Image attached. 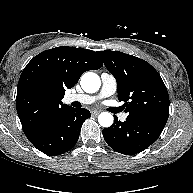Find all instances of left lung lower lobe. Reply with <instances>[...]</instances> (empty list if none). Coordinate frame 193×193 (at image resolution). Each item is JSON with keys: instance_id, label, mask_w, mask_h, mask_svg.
Here are the masks:
<instances>
[{"instance_id": "0a47b994", "label": "left lung lower lobe", "mask_w": 193, "mask_h": 193, "mask_svg": "<svg viewBox=\"0 0 193 193\" xmlns=\"http://www.w3.org/2000/svg\"><path fill=\"white\" fill-rule=\"evenodd\" d=\"M168 116H154L144 119L118 121L104 128L102 133L107 144L115 151L133 155L145 150L160 136Z\"/></svg>"}]
</instances>
